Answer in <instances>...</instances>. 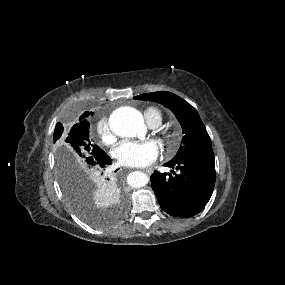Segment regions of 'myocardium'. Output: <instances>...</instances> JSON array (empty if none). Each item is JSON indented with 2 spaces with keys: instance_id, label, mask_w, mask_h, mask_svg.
Segmentation results:
<instances>
[{
  "instance_id": "myocardium-1",
  "label": "myocardium",
  "mask_w": 285,
  "mask_h": 285,
  "mask_svg": "<svg viewBox=\"0 0 285 285\" xmlns=\"http://www.w3.org/2000/svg\"><path fill=\"white\" fill-rule=\"evenodd\" d=\"M163 139L171 148H175L178 143L179 133L175 130L165 131L162 134Z\"/></svg>"
}]
</instances>
